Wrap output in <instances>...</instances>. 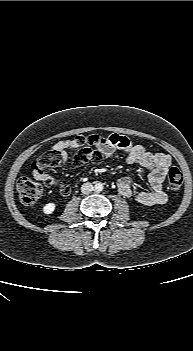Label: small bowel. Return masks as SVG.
<instances>
[{"label": "small bowel", "instance_id": "small-bowel-1", "mask_svg": "<svg viewBox=\"0 0 193 351\" xmlns=\"http://www.w3.org/2000/svg\"><path fill=\"white\" fill-rule=\"evenodd\" d=\"M107 145L100 148L105 157H112L117 150L126 154V162L129 165H139L148 172L150 189L136 192L132 187V180L128 177L117 181L119 193L128 198H134L138 203L146 206L162 205L167 201V194L163 189V183L167 171L172 163L171 157L164 153H152L144 146L134 144L127 137L112 134L107 137ZM79 145L76 140L68 139L56 142L53 150L58 152L63 162L69 158V153ZM37 179L45 181L47 175H34ZM70 193L68 187L67 194Z\"/></svg>", "mask_w": 193, "mask_h": 351}]
</instances>
